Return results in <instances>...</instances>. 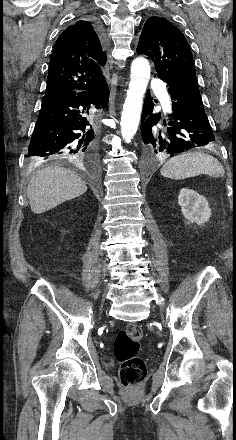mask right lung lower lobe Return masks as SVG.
<instances>
[{"mask_svg": "<svg viewBox=\"0 0 236 440\" xmlns=\"http://www.w3.org/2000/svg\"><path fill=\"white\" fill-rule=\"evenodd\" d=\"M97 28V27H96ZM97 31L104 42L102 32ZM105 79L86 90L46 94L30 141L28 157L35 162L63 160L92 173L96 166V118L107 107Z\"/></svg>", "mask_w": 236, "mask_h": 440, "instance_id": "obj_1", "label": "right lung lower lobe"}]
</instances>
